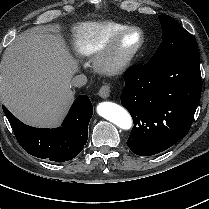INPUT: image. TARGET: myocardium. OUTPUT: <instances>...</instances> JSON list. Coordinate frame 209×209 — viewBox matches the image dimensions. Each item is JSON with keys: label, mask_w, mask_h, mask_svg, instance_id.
<instances>
[{"label": "myocardium", "mask_w": 209, "mask_h": 209, "mask_svg": "<svg viewBox=\"0 0 209 209\" xmlns=\"http://www.w3.org/2000/svg\"><path fill=\"white\" fill-rule=\"evenodd\" d=\"M138 33L140 42L126 54H119L118 48L122 39L129 34ZM145 44V35L141 28L130 26L117 30L104 43L95 59L98 72L105 75H116L125 71L138 56Z\"/></svg>", "instance_id": "obj_1"}]
</instances>
